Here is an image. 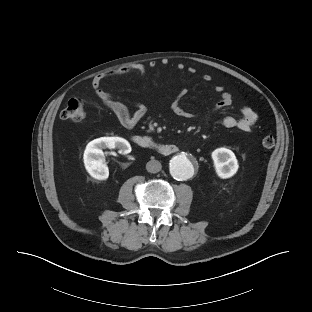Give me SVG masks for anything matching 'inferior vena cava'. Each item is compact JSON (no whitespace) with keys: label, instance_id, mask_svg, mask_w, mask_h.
<instances>
[{"label":"inferior vena cava","instance_id":"inferior-vena-cava-1","mask_svg":"<svg viewBox=\"0 0 312 312\" xmlns=\"http://www.w3.org/2000/svg\"><path fill=\"white\" fill-rule=\"evenodd\" d=\"M162 165L158 160H150L146 164V169L150 173H157L161 170Z\"/></svg>","mask_w":312,"mask_h":312}]
</instances>
